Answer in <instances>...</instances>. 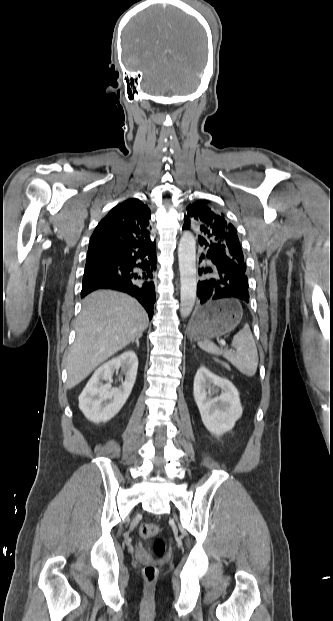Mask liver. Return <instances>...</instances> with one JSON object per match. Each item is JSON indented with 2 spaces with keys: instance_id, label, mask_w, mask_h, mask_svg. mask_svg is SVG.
I'll use <instances>...</instances> for the list:
<instances>
[{
  "instance_id": "liver-1",
  "label": "liver",
  "mask_w": 333,
  "mask_h": 621,
  "mask_svg": "<svg viewBox=\"0 0 333 621\" xmlns=\"http://www.w3.org/2000/svg\"><path fill=\"white\" fill-rule=\"evenodd\" d=\"M143 307L125 294L98 290L83 300L76 339L66 355L67 386L83 381L97 366L148 327Z\"/></svg>"
}]
</instances>
